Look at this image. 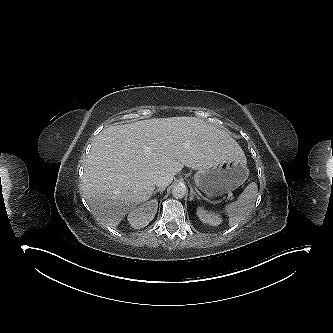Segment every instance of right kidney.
Masks as SVG:
<instances>
[{
	"instance_id": "1",
	"label": "right kidney",
	"mask_w": 333,
	"mask_h": 333,
	"mask_svg": "<svg viewBox=\"0 0 333 333\" xmlns=\"http://www.w3.org/2000/svg\"><path fill=\"white\" fill-rule=\"evenodd\" d=\"M158 208L156 199L150 200L132 209L127 217L130 225L135 229H141L153 220Z\"/></svg>"
}]
</instances>
